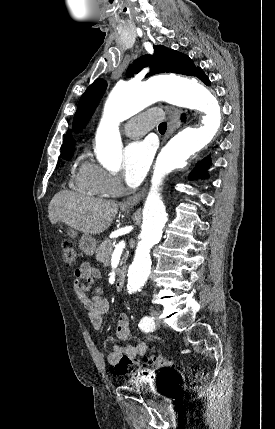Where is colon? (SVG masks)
<instances>
[{
	"label": "colon",
	"mask_w": 275,
	"mask_h": 429,
	"mask_svg": "<svg viewBox=\"0 0 275 429\" xmlns=\"http://www.w3.org/2000/svg\"><path fill=\"white\" fill-rule=\"evenodd\" d=\"M77 260V250L71 241H65L62 245V261L66 266L73 265ZM147 365L156 370L169 369L172 366V360L161 355H152L146 360ZM117 371L120 374H132L135 378L146 377L149 369L139 362H133L128 359H122L118 364Z\"/></svg>",
	"instance_id": "obj_1"
}]
</instances>
